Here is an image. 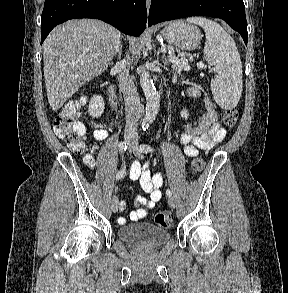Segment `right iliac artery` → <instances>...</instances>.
I'll use <instances>...</instances> for the list:
<instances>
[{
    "label": "right iliac artery",
    "instance_id": "1",
    "mask_svg": "<svg viewBox=\"0 0 288 293\" xmlns=\"http://www.w3.org/2000/svg\"><path fill=\"white\" fill-rule=\"evenodd\" d=\"M118 146L120 150H124V151L126 150V143L120 142ZM125 173H126L125 169H121L120 171H118V173L116 174V180L121 179L125 175Z\"/></svg>",
    "mask_w": 288,
    "mask_h": 293
}]
</instances>
